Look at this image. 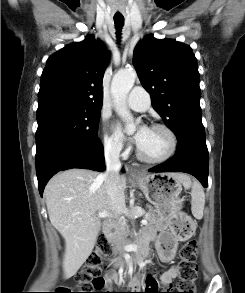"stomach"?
I'll return each mask as SVG.
<instances>
[{
  "mask_svg": "<svg viewBox=\"0 0 245 293\" xmlns=\"http://www.w3.org/2000/svg\"><path fill=\"white\" fill-rule=\"evenodd\" d=\"M135 182L145 194L147 200L154 205L158 218L167 224L173 233H176L174 224L186 218L182 210L183 183L173 173L142 174L135 178ZM194 232L193 225L178 234V238L187 239Z\"/></svg>",
  "mask_w": 245,
  "mask_h": 293,
  "instance_id": "stomach-1",
  "label": "stomach"
}]
</instances>
